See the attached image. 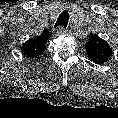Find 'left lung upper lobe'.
<instances>
[{
    "label": "left lung upper lobe",
    "instance_id": "left-lung-upper-lobe-1",
    "mask_svg": "<svg viewBox=\"0 0 118 118\" xmlns=\"http://www.w3.org/2000/svg\"><path fill=\"white\" fill-rule=\"evenodd\" d=\"M88 57L96 64L105 63L112 55V48L97 35H91L85 45Z\"/></svg>",
    "mask_w": 118,
    "mask_h": 118
}]
</instances>
